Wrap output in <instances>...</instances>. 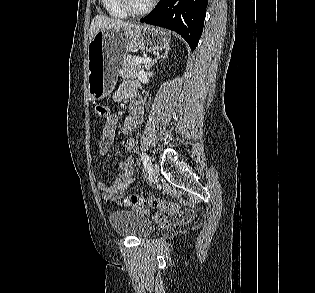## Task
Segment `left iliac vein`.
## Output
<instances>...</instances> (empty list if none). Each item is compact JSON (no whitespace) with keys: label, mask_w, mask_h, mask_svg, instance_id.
Masks as SVG:
<instances>
[{"label":"left iliac vein","mask_w":315,"mask_h":293,"mask_svg":"<svg viewBox=\"0 0 315 293\" xmlns=\"http://www.w3.org/2000/svg\"><path fill=\"white\" fill-rule=\"evenodd\" d=\"M151 179L154 184L159 181V167L156 164H151Z\"/></svg>","instance_id":"obj_1"}]
</instances>
